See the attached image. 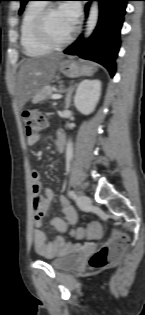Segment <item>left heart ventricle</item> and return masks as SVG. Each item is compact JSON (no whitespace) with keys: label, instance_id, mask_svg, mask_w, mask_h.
Returning <instances> with one entry per match:
<instances>
[{"label":"left heart ventricle","instance_id":"left-heart-ventricle-1","mask_svg":"<svg viewBox=\"0 0 145 315\" xmlns=\"http://www.w3.org/2000/svg\"><path fill=\"white\" fill-rule=\"evenodd\" d=\"M46 29L52 40L62 41L72 32L73 26L61 10L56 9L49 14Z\"/></svg>","mask_w":145,"mask_h":315}]
</instances>
